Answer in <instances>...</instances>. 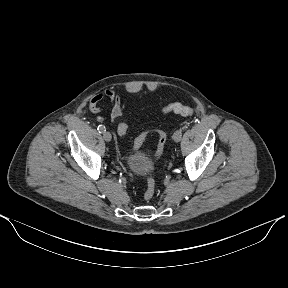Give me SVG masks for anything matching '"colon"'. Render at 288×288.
<instances>
[{"instance_id":"obj_1","label":"colon","mask_w":288,"mask_h":288,"mask_svg":"<svg viewBox=\"0 0 288 288\" xmlns=\"http://www.w3.org/2000/svg\"><path fill=\"white\" fill-rule=\"evenodd\" d=\"M163 113H176L179 114L181 116H190L194 113V108L187 106V105H183L181 103H172L167 105L166 107L163 108ZM128 129V123L126 121L122 122L120 128L118 129V131L122 134L125 135ZM154 132H156L157 136H158V142H157V147H156V151L154 154V159H158L163 151H164V147H165V143H166V134L162 131V130H154ZM150 133V131H145L143 133H141L134 141L133 143V148H139L143 142L145 141V139L147 138L148 134ZM155 180L151 177H149L147 179V184H146V189L144 192V198L145 200H150L153 198L154 194H155Z\"/></svg>"}]
</instances>
